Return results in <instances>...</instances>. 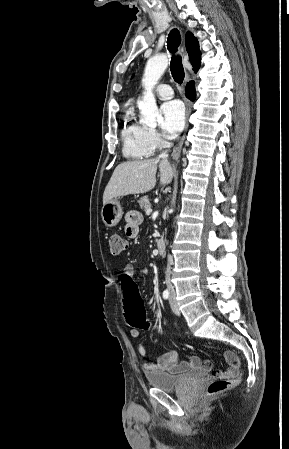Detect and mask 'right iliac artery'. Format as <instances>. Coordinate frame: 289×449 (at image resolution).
Returning <instances> with one entry per match:
<instances>
[{
	"label": "right iliac artery",
	"instance_id": "obj_1",
	"mask_svg": "<svg viewBox=\"0 0 289 449\" xmlns=\"http://www.w3.org/2000/svg\"><path fill=\"white\" fill-rule=\"evenodd\" d=\"M163 298H164V299H168V298H169V291H168V290H164V292H163Z\"/></svg>",
	"mask_w": 289,
	"mask_h": 449
}]
</instances>
